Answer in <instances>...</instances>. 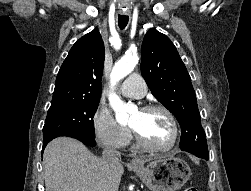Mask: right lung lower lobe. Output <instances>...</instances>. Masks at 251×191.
I'll return each mask as SVG.
<instances>
[{
  "instance_id": "98d812e1",
  "label": "right lung lower lobe",
  "mask_w": 251,
  "mask_h": 191,
  "mask_svg": "<svg viewBox=\"0 0 251 191\" xmlns=\"http://www.w3.org/2000/svg\"><path fill=\"white\" fill-rule=\"evenodd\" d=\"M60 136H68V137H72V138L78 139V140H80L82 143H84L85 145H88V146H95V145H96L95 137L87 136V135H84V134H80V133H76V132H66V133L60 134V135L57 136V137H60ZM55 138H56V137H55ZM53 139H54V138H53ZM51 140H52V139H51ZM51 140H49V141H47V142H43L42 154H43L44 148L46 147V145H47Z\"/></svg>"
}]
</instances>
